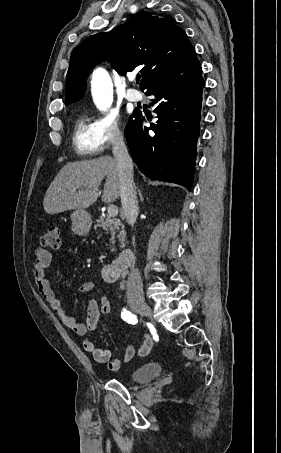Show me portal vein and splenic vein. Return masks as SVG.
I'll return each mask as SVG.
<instances>
[{
  "label": "portal vein and splenic vein",
  "instance_id": "1",
  "mask_svg": "<svg viewBox=\"0 0 281 453\" xmlns=\"http://www.w3.org/2000/svg\"><path fill=\"white\" fill-rule=\"evenodd\" d=\"M108 216H117L118 214V208L115 206V204H110L107 208Z\"/></svg>",
  "mask_w": 281,
  "mask_h": 453
}]
</instances>
